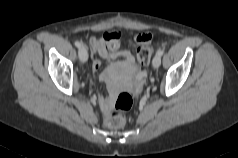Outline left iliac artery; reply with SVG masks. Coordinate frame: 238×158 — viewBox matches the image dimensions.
Masks as SVG:
<instances>
[{
  "mask_svg": "<svg viewBox=\"0 0 238 158\" xmlns=\"http://www.w3.org/2000/svg\"><path fill=\"white\" fill-rule=\"evenodd\" d=\"M164 51L162 49H160L157 54L161 57L163 55Z\"/></svg>",
  "mask_w": 238,
  "mask_h": 158,
  "instance_id": "obj_1",
  "label": "left iliac artery"
}]
</instances>
